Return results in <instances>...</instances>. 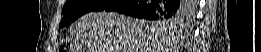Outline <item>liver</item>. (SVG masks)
Here are the masks:
<instances>
[{
    "instance_id": "1",
    "label": "liver",
    "mask_w": 261,
    "mask_h": 52,
    "mask_svg": "<svg viewBox=\"0 0 261 52\" xmlns=\"http://www.w3.org/2000/svg\"><path fill=\"white\" fill-rule=\"evenodd\" d=\"M172 28L116 12H91L76 23L72 52H174Z\"/></svg>"
}]
</instances>
